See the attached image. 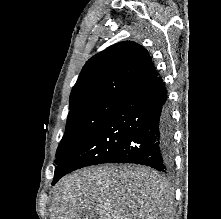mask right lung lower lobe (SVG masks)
<instances>
[{"mask_svg": "<svg viewBox=\"0 0 221 219\" xmlns=\"http://www.w3.org/2000/svg\"><path fill=\"white\" fill-rule=\"evenodd\" d=\"M166 100L161 77L126 95L100 127L58 164L52 185L71 171L102 163H135L169 171L173 124Z\"/></svg>", "mask_w": 221, "mask_h": 219, "instance_id": "98d812e1", "label": "right lung lower lobe"}]
</instances>
